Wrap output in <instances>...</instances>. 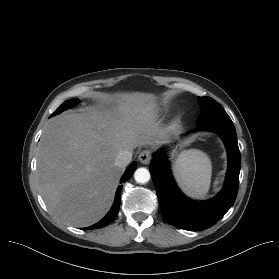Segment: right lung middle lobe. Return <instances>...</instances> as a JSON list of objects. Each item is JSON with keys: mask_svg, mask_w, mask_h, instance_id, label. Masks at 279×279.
Wrapping results in <instances>:
<instances>
[{"mask_svg": "<svg viewBox=\"0 0 279 279\" xmlns=\"http://www.w3.org/2000/svg\"><path fill=\"white\" fill-rule=\"evenodd\" d=\"M80 102V100L78 98H75V99H71V100H68L66 102H64L51 116H54L56 114H59L61 113L62 111L68 109V108H71L73 106H75L76 104H78Z\"/></svg>", "mask_w": 279, "mask_h": 279, "instance_id": "1", "label": "right lung middle lobe"}]
</instances>
